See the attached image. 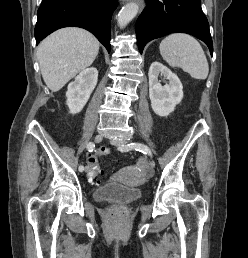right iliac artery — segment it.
Wrapping results in <instances>:
<instances>
[{
    "mask_svg": "<svg viewBox=\"0 0 248 258\" xmlns=\"http://www.w3.org/2000/svg\"><path fill=\"white\" fill-rule=\"evenodd\" d=\"M94 148H95V144H94L93 142H89V143L87 144V150H88L89 152H92V151L94 150ZM78 169H79L80 172H82V171L84 170V166H83V165H80Z\"/></svg>",
    "mask_w": 248,
    "mask_h": 258,
    "instance_id": "1",
    "label": "right iliac artery"
}]
</instances>
